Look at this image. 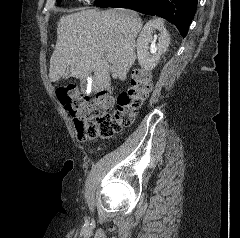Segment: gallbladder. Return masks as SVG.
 Here are the masks:
<instances>
[{
  "label": "gallbladder",
  "mask_w": 240,
  "mask_h": 238,
  "mask_svg": "<svg viewBox=\"0 0 240 238\" xmlns=\"http://www.w3.org/2000/svg\"><path fill=\"white\" fill-rule=\"evenodd\" d=\"M67 78V77H66ZM85 85H86V81H83L82 83H81V88L82 89H85Z\"/></svg>",
  "instance_id": "bac80fb5"
}]
</instances>
